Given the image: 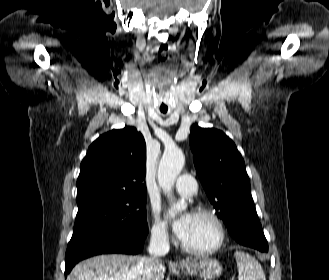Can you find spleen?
Listing matches in <instances>:
<instances>
[{"label": "spleen", "instance_id": "spleen-1", "mask_svg": "<svg viewBox=\"0 0 329 280\" xmlns=\"http://www.w3.org/2000/svg\"><path fill=\"white\" fill-rule=\"evenodd\" d=\"M234 256L237 262L239 280H266L261 265L254 257L242 251H236Z\"/></svg>", "mask_w": 329, "mask_h": 280}]
</instances>
